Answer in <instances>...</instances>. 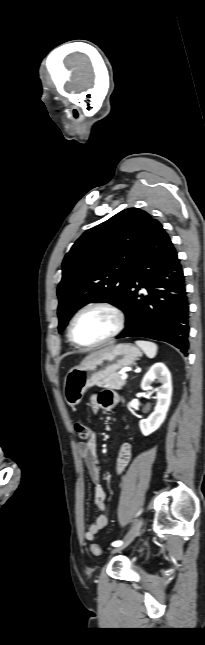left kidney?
Listing matches in <instances>:
<instances>
[{"label": "left kidney", "mask_w": 205, "mask_h": 645, "mask_svg": "<svg viewBox=\"0 0 205 645\" xmlns=\"http://www.w3.org/2000/svg\"><path fill=\"white\" fill-rule=\"evenodd\" d=\"M158 379L162 384L160 390L157 392V405L154 412L150 414L147 419H142L139 423L141 432L144 436H148L156 431L164 422L172 395V382L171 374L165 364L158 362L150 367L145 374L142 382V390H150L151 384Z\"/></svg>", "instance_id": "obj_1"}]
</instances>
